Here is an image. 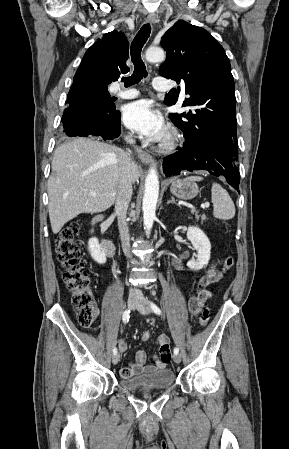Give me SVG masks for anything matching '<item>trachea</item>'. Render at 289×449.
<instances>
[{"instance_id": "obj_1", "label": "trachea", "mask_w": 289, "mask_h": 449, "mask_svg": "<svg viewBox=\"0 0 289 449\" xmlns=\"http://www.w3.org/2000/svg\"><path fill=\"white\" fill-rule=\"evenodd\" d=\"M150 33V24L148 23L143 25L131 43L130 54L132 63L134 65V72L132 76L122 78L125 87L138 84L143 77L146 78L148 75L146 66L141 58V51L147 39L149 38Z\"/></svg>"}]
</instances>
